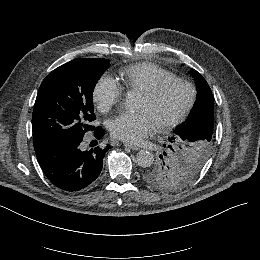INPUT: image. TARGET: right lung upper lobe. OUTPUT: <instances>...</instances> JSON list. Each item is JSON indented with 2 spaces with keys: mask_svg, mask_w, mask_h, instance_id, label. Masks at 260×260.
Here are the masks:
<instances>
[{
  "mask_svg": "<svg viewBox=\"0 0 260 260\" xmlns=\"http://www.w3.org/2000/svg\"><path fill=\"white\" fill-rule=\"evenodd\" d=\"M85 59H88V60H93V59H98V58H93V59H90V58H85ZM101 59V58H100Z\"/></svg>",
  "mask_w": 260,
  "mask_h": 260,
  "instance_id": "cb5924a9",
  "label": "right lung upper lobe"
}]
</instances>
